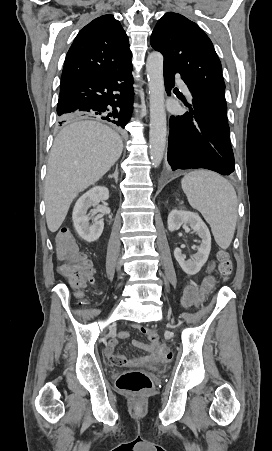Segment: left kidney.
I'll use <instances>...</instances> for the list:
<instances>
[{
	"label": "left kidney",
	"mask_w": 272,
	"mask_h": 451,
	"mask_svg": "<svg viewBox=\"0 0 272 451\" xmlns=\"http://www.w3.org/2000/svg\"><path fill=\"white\" fill-rule=\"evenodd\" d=\"M167 222L170 231H175V229H179L183 224H188L201 237V243L197 247L198 251L192 255V259H186V255L182 253L180 247H175L174 249V255L183 271L188 273V275L198 273L202 265L206 263L211 249V235L208 227L201 220L200 216L193 214V212H185V210H172Z\"/></svg>",
	"instance_id": "obj_1"
}]
</instances>
